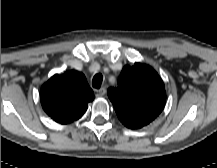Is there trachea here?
Segmentation results:
<instances>
[{"instance_id": "obj_1", "label": "trachea", "mask_w": 217, "mask_h": 168, "mask_svg": "<svg viewBox=\"0 0 217 168\" xmlns=\"http://www.w3.org/2000/svg\"><path fill=\"white\" fill-rule=\"evenodd\" d=\"M102 80H103V77L101 74H96L94 77H93V80H92V85L94 88H100L101 86V83H102Z\"/></svg>"}]
</instances>
